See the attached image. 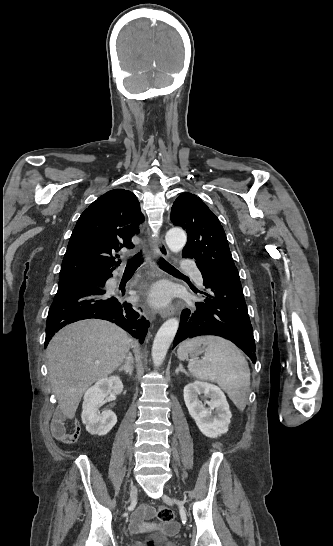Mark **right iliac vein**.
<instances>
[{
  "label": "right iliac vein",
  "mask_w": 333,
  "mask_h": 546,
  "mask_svg": "<svg viewBox=\"0 0 333 546\" xmlns=\"http://www.w3.org/2000/svg\"><path fill=\"white\" fill-rule=\"evenodd\" d=\"M135 491H136V489H135V488H132V492H135Z\"/></svg>",
  "instance_id": "right-iliac-vein-1"
}]
</instances>
